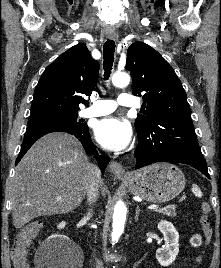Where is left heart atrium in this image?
<instances>
[{
	"instance_id": "1",
	"label": "left heart atrium",
	"mask_w": 221,
	"mask_h": 268,
	"mask_svg": "<svg viewBox=\"0 0 221 268\" xmlns=\"http://www.w3.org/2000/svg\"><path fill=\"white\" fill-rule=\"evenodd\" d=\"M95 137L103 147L112 151H121L131 143L132 129L126 121L108 117L97 123Z\"/></svg>"
}]
</instances>
